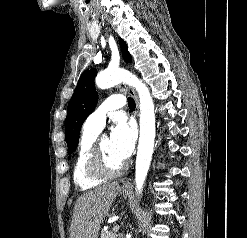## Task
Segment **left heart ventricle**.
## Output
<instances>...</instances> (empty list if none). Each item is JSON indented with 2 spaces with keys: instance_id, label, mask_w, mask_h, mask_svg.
Masks as SVG:
<instances>
[{
  "instance_id": "b2bd125f",
  "label": "left heart ventricle",
  "mask_w": 247,
  "mask_h": 238,
  "mask_svg": "<svg viewBox=\"0 0 247 238\" xmlns=\"http://www.w3.org/2000/svg\"><path fill=\"white\" fill-rule=\"evenodd\" d=\"M101 147L106 163L111 168H118L124 162V160L117 156L113 151L109 138L102 139Z\"/></svg>"
}]
</instances>
